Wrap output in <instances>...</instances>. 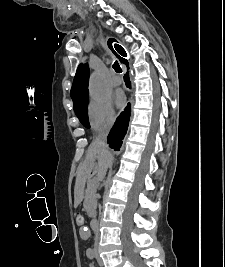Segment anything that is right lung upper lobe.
Masks as SVG:
<instances>
[{
	"label": "right lung upper lobe",
	"instance_id": "cb5924a9",
	"mask_svg": "<svg viewBox=\"0 0 225 267\" xmlns=\"http://www.w3.org/2000/svg\"><path fill=\"white\" fill-rule=\"evenodd\" d=\"M89 68L87 64H80L77 68L73 85L71 88V98L73 104L78 105L82 100L88 97Z\"/></svg>",
	"mask_w": 225,
	"mask_h": 267
}]
</instances>
